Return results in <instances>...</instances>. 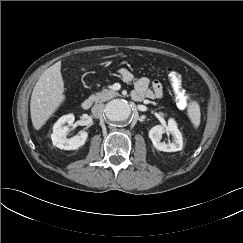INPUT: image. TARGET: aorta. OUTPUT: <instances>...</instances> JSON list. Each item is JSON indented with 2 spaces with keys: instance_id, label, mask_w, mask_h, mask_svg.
Returning a JSON list of instances; mask_svg holds the SVG:
<instances>
[{
  "instance_id": "obj_1",
  "label": "aorta",
  "mask_w": 243,
  "mask_h": 243,
  "mask_svg": "<svg viewBox=\"0 0 243 243\" xmlns=\"http://www.w3.org/2000/svg\"><path fill=\"white\" fill-rule=\"evenodd\" d=\"M131 114V107L127 101L117 99L109 102L105 107L106 117L117 123L125 122L129 119Z\"/></svg>"
}]
</instances>
